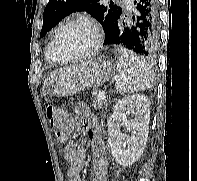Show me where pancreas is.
I'll use <instances>...</instances> for the list:
<instances>
[{"label":"pancreas","instance_id":"obj_1","mask_svg":"<svg viewBox=\"0 0 197 181\" xmlns=\"http://www.w3.org/2000/svg\"><path fill=\"white\" fill-rule=\"evenodd\" d=\"M92 105H93V107L96 108V109H101L102 106H103V101H102L101 99H94V100L92 101Z\"/></svg>","mask_w":197,"mask_h":181}]
</instances>
